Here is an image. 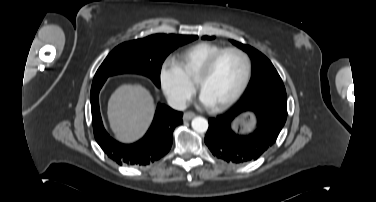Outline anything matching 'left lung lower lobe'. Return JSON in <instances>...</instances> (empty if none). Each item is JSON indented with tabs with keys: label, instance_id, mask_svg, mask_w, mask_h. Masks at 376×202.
I'll return each mask as SVG.
<instances>
[{
	"label": "left lung lower lobe",
	"instance_id": "obj_1",
	"mask_svg": "<svg viewBox=\"0 0 376 202\" xmlns=\"http://www.w3.org/2000/svg\"><path fill=\"white\" fill-rule=\"evenodd\" d=\"M253 112L257 130L248 136L235 134L231 122L238 115ZM287 118V101L261 95L240 101L228 112L209 119L205 143L218 158L227 162L244 163L256 160L272 146Z\"/></svg>",
	"mask_w": 376,
	"mask_h": 202
}]
</instances>
